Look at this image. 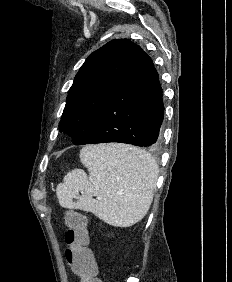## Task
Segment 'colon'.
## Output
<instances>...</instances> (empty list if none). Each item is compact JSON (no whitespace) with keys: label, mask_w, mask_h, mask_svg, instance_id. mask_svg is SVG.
<instances>
[{"label":"colon","mask_w":232,"mask_h":282,"mask_svg":"<svg viewBox=\"0 0 232 282\" xmlns=\"http://www.w3.org/2000/svg\"><path fill=\"white\" fill-rule=\"evenodd\" d=\"M67 231L65 259L80 282H102L97 277V265L89 248L87 218L76 211H66L64 215Z\"/></svg>","instance_id":"5ec220e1"}]
</instances>
